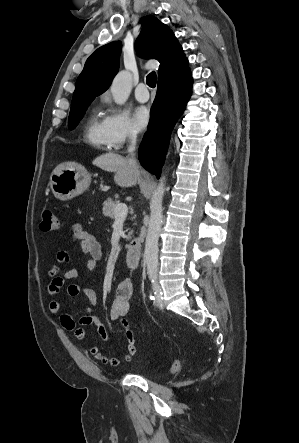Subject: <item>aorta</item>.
Listing matches in <instances>:
<instances>
[{
  "instance_id": "1",
  "label": "aorta",
  "mask_w": 299,
  "mask_h": 443,
  "mask_svg": "<svg viewBox=\"0 0 299 443\" xmlns=\"http://www.w3.org/2000/svg\"><path fill=\"white\" fill-rule=\"evenodd\" d=\"M132 89V76L127 71H120L110 87L115 103L124 104ZM166 178L162 176L157 189L154 191L150 201V220L145 241V261L147 272L156 274L158 271V240L163 223L162 201L165 192Z\"/></svg>"
}]
</instances>
